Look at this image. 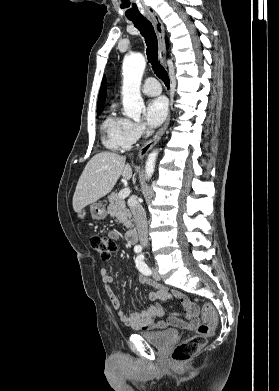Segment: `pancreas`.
<instances>
[{
    "mask_svg": "<svg viewBox=\"0 0 279 391\" xmlns=\"http://www.w3.org/2000/svg\"><path fill=\"white\" fill-rule=\"evenodd\" d=\"M108 199L110 202L107 208L108 213L112 217H115L116 220L122 223L126 228H132V215L130 210L126 208L124 199L119 198L114 192L109 195Z\"/></svg>",
    "mask_w": 279,
    "mask_h": 391,
    "instance_id": "cf45deb5",
    "label": "pancreas"
}]
</instances>
